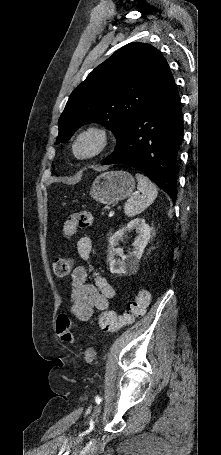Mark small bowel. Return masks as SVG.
Returning <instances> with one entry per match:
<instances>
[{
    "label": "small bowel",
    "mask_w": 221,
    "mask_h": 455,
    "mask_svg": "<svg viewBox=\"0 0 221 455\" xmlns=\"http://www.w3.org/2000/svg\"><path fill=\"white\" fill-rule=\"evenodd\" d=\"M77 253L84 261H89L92 241L88 236L81 237L76 245ZM92 276L94 283L89 282ZM70 305L68 313L75 319L88 322L95 311H106L115 292L112 285L92 266H77L70 279Z\"/></svg>",
    "instance_id": "obj_1"
}]
</instances>
